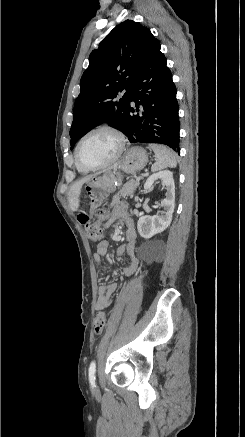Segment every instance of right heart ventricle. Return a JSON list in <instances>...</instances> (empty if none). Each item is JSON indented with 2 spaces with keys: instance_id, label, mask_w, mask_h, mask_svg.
Segmentation results:
<instances>
[{
  "instance_id": "1",
  "label": "right heart ventricle",
  "mask_w": 245,
  "mask_h": 437,
  "mask_svg": "<svg viewBox=\"0 0 245 437\" xmlns=\"http://www.w3.org/2000/svg\"><path fill=\"white\" fill-rule=\"evenodd\" d=\"M75 166H76V169L78 170V172L81 174H87L90 172L89 169L82 167L76 160H75Z\"/></svg>"
}]
</instances>
